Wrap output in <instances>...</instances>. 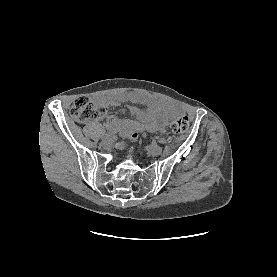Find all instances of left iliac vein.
<instances>
[{
	"label": "left iliac vein",
	"mask_w": 277,
	"mask_h": 277,
	"mask_svg": "<svg viewBox=\"0 0 277 277\" xmlns=\"http://www.w3.org/2000/svg\"><path fill=\"white\" fill-rule=\"evenodd\" d=\"M147 150L152 156H158L162 153V148L156 144L148 146Z\"/></svg>",
	"instance_id": "left-iliac-vein-1"
}]
</instances>
